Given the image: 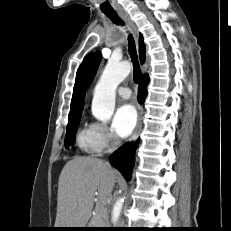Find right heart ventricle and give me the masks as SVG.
Returning a JSON list of instances; mask_svg holds the SVG:
<instances>
[{
    "instance_id": "e07e8e85",
    "label": "right heart ventricle",
    "mask_w": 231,
    "mask_h": 231,
    "mask_svg": "<svg viewBox=\"0 0 231 231\" xmlns=\"http://www.w3.org/2000/svg\"><path fill=\"white\" fill-rule=\"evenodd\" d=\"M79 149L89 155H98L102 152L94 125H84L77 134Z\"/></svg>"
}]
</instances>
